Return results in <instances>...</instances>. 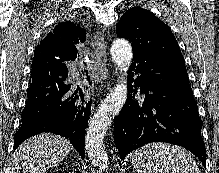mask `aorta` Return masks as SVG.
Segmentation results:
<instances>
[{
	"mask_svg": "<svg viewBox=\"0 0 219 173\" xmlns=\"http://www.w3.org/2000/svg\"><path fill=\"white\" fill-rule=\"evenodd\" d=\"M110 52L115 65L125 73L133 58L131 44L125 39H118L112 44ZM127 93V82L123 79L110 91L89 122L85 149L91 164L98 169L99 173L109 167L108 156L103 144L104 136L125 104Z\"/></svg>",
	"mask_w": 219,
	"mask_h": 173,
	"instance_id": "obj_1",
	"label": "aorta"
}]
</instances>
